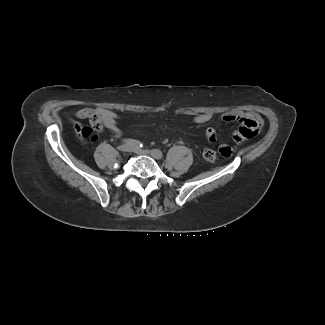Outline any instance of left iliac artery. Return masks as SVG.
Here are the masks:
<instances>
[{
  "mask_svg": "<svg viewBox=\"0 0 325 325\" xmlns=\"http://www.w3.org/2000/svg\"><path fill=\"white\" fill-rule=\"evenodd\" d=\"M153 151H154L155 153H157V154L159 155L160 158H162L163 154H162V152H161L160 150H158V149H154Z\"/></svg>",
  "mask_w": 325,
  "mask_h": 325,
  "instance_id": "44dca946",
  "label": "left iliac artery"
}]
</instances>
